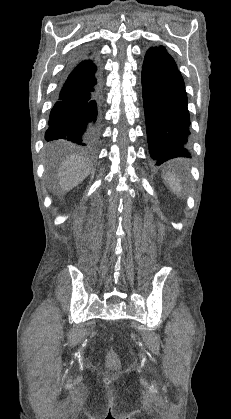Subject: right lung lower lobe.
Returning a JSON list of instances; mask_svg holds the SVG:
<instances>
[{
	"mask_svg": "<svg viewBox=\"0 0 231 419\" xmlns=\"http://www.w3.org/2000/svg\"><path fill=\"white\" fill-rule=\"evenodd\" d=\"M96 70L90 59L69 64L50 112L47 141L60 139L86 148L96 144L101 100Z\"/></svg>",
	"mask_w": 231,
	"mask_h": 419,
	"instance_id": "right-lung-lower-lobe-1",
	"label": "right lung lower lobe"
}]
</instances>
